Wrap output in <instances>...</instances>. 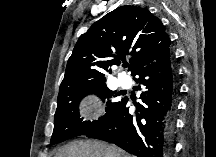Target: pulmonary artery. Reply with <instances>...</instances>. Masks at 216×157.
<instances>
[{"label":"pulmonary artery","mask_w":216,"mask_h":157,"mask_svg":"<svg viewBox=\"0 0 216 157\" xmlns=\"http://www.w3.org/2000/svg\"><path fill=\"white\" fill-rule=\"evenodd\" d=\"M118 82H119V85L123 88H129L131 85L130 78L124 74L118 75Z\"/></svg>","instance_id":"1"}]
</instances>
